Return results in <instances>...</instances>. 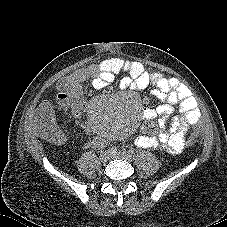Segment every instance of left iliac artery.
I'll return each mask as SVG.
<instances>
[{"instance_id": "left-iliac-artery-1", "label": "left iliac artery", "mask_w": 227, "mask_h": 227, "mask_svg": "<svg viewBox=\"0 0 227 227\" xmlns=\"http://www.w3.org/2000/svg\"><path fill=\"white\" fill-rule=\"evenodd\" d=\"M127 153H129V154L133 155V154H134V151H132V150H128V151H127Z\"/></svg>"}]
</instances>
